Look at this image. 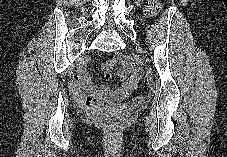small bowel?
I'll return each mask as SVG.
<instances>
[{"label": "small bowel", "instance_id": "c3829d8e", "mask_svg": "<svg viewBox=\"0 0 227 157\" xmlns=\"http://www.w3.org/2000/svg\"><path fill=\"white\" fill-rule=\"evenodd\" d=\"M115 61V59H111L103 65L107 79L111 76L110 69ZM119 76L122 79L121 85L114 90H109L107 87L99 88L86 72H80L75 75L71 82L70 90L74 99L80 105L87 108H94L105 100L125 98L135 87L139 78V70L126 63L121 69Z\"/></svg>", "mask_w": 227, "mask_h": 157}]
</instances>
